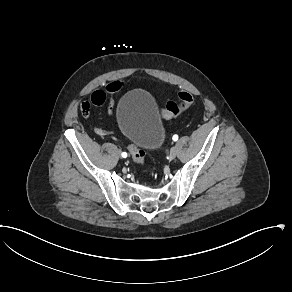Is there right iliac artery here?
Returning a JSON list of instances; mask_svg holds the SVG:
<instances>
[{
	"mask_svg": "<svg viewBox=\"0 0 292 292\" xmlns=\"http://www.w3.org/2000/svg\"><path fill=\"white\" fill-rule=\"evenodd\" d=\"M122 157H123V158H126V157H127V153H126V152H123V153H122Z\"/></svg>",
	"mask_w": 292,
	"mask_h": 292,
	"instance_id": "obj_1",
	"label": "right iliac artery"
}]
</instances>
